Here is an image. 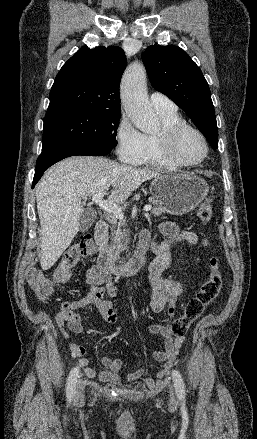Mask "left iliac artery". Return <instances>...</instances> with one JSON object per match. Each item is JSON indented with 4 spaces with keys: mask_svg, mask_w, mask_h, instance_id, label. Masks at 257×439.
<instances>
[{
    "mask_svg": "<svg viewBox=\"0 0 257 439\" xmlns=\"http://www.w3.org/2000/svg\"><path fill=\"white\" fill-rule=\"evenodd\" d=\"M172 377L174 381L175 390L179 399H185V385L181 374L177 370H173Z\"/></svg>",
    "mask_w": 257,
    "mask_h": 439,
    "instance_id": "1",
    "label": "left iliac artery"
}]
</instances>
